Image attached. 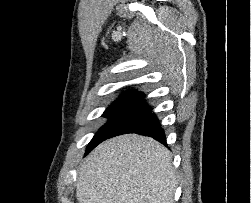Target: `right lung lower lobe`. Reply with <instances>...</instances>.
I'll return each instance as SVG.
<instances>
[{
    "label": "right lung lower lobe",
    "instance_id": "98d812e1",
    "mask_svg": "<svg viewBox=\"0 0 251 203\" xmlns=\"http://www.w3.org/2000/svg\"><path fill=\"white\" fill-rule=\"evenodd\" d=\"M127 133H136L149 136L166 145L165 133L161 128L158 118L151 111H145L121 125L110 136H118Z\"/></svg>",
    "mask_w": 251,
    "mask_h": 203
}]
</instances>
